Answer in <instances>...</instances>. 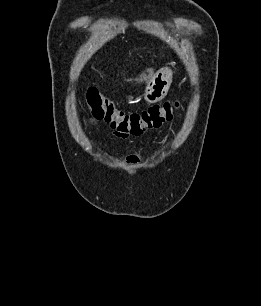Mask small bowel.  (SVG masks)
I'll use <instances>...</instances> for the list:
<instances>
[{"label":"small bowel","mask_w":261,"mask_h":306,"mask_svg":"<svg viewBox=\"0 0 261 306\" xmlns=\"http://www.w3.org/2000/svg\"><path fill=\"white\" fill-rule=\"evenodd\" d=\"M126 162L130 165H137L140 163V156L137 154H132L126 157Z\"/></svg>","instance_id":"obj_1"}]
</instances>
